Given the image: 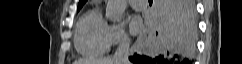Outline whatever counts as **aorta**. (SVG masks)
Listing matches in <instances>:
<instances>
[{"label":"aorta","mask_w":242,"mask_h":64,"mask_svg":"<svg viewBox=\"0 0 242 64\" xmlns=\"http://www.w3.org/2000/svg\"><path fill=\"white\" fill-rule=\"evenodd\" d=\"M127 6V0H108L106 17L113 22H120Z\"/></svg>","instance_id":"762f6f07"}]
</instances>
